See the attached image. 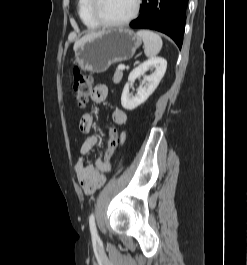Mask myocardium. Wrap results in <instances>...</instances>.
<instances>
[{"label":"myocardium","mask_w":247,"mask_h":265,"mask_svg":"<svg viewBox=\"0 0 247 265\" xmlns=\"http://www.w3.org/2000/svg\"><path fill=\"white\" fill-rule=\"evenodd\" d=\"M100 2L101 0H91L90 11L93 19L99 24V26L104 28H119L130 24L138 17L142 5V0H136L132 13L126 19H123L121 21L111 22L105 20L101 16L99 12Z\"/></svg>","instance_id":"1"}]
</instances>
